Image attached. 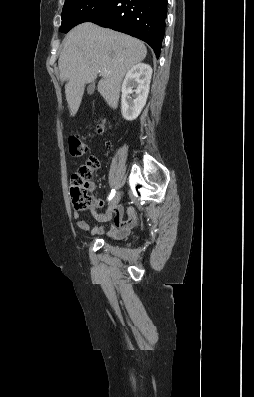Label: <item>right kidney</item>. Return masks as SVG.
Wrapping results in <instances>:
<instances>
[{
    "mask_svg": "<svg viewBox=\"0 0 254 397\" xmlns=\"http://www.w3.org/2000/svg\"><path fill=\"white\" fill-rule=\"evenodd\" d=\"M152 68L145 63L134 65L122 83L121 111L127 121L135 120L146 104Z\"/></svg>",
    "mask_w": 254,
    "mask_h": 397,
    "instance_id": "obj_1",
    "label": "right kidney"
}]
</instances>
